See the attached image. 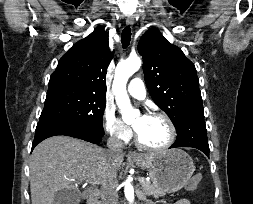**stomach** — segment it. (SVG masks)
<instances>
[{"label":"stomach","instance_id":"obj_1","mask_svg":"<svg viewBox=\"0 0 253 204\" xmlns=\"http://www.w3.org/2000/svg\"><path fill=\"white\" fill-rule=\"evenodd\" d=\"M132 161L147 170L152 182L164 193L182 189L195 171L192 158L181 149L140 154Z\"/></svg>","mask_w":253,"mask_h":204}]
</instances>
